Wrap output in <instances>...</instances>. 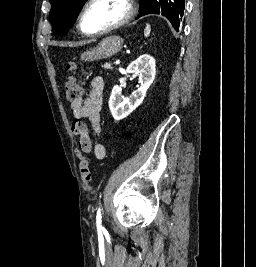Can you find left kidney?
I'll list each match as a JSON object with an SVG mask.
<instances>
[{
    "label": "left kidney",
    "mask_w": 256,
    "mask_h": 267,
    "mask_svg": "<svg viewBox=\"0 0 256 267\" xmlns=\"http://www.w3.org/2000/svg\"><path fill=\"white\" fill-rule=\"evenodd\" d=\"M126 72L128 74H138L140 88L126 98V96H122L121 88L114 86L108 104L110 112L117 122L129 116L133 110H136L142 104L148 88L155 80L156 60L149 54H143L129 64Z\"/></svg>",
    "instance_id": "obj_1"
}]
</instances>
